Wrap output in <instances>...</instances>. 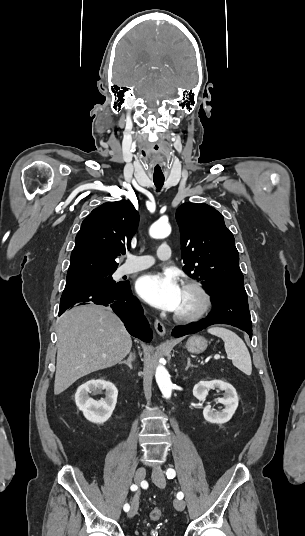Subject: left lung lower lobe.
Returning <instances> with one entry per match:
<instances>
[{
	"label": "left lung lower lobe",
	"instance_id": "obj_1",
	"mask_svg": "<svg viewBox=\"0 0 305 536\" xmlns=\"http://www.w3.org/2000/svg\"><path fill=\"white\" fill-rule=\"evenodd\" d=\"M212 311L207 318L197 323L177 326L172 330L174 337L193 334L213 324H229L246 331L252 338V322L247 294L230 293L212 295Z\"/></svg>",
	"mask_w": 305,
	"mask_h": 536
}]
</instances>
